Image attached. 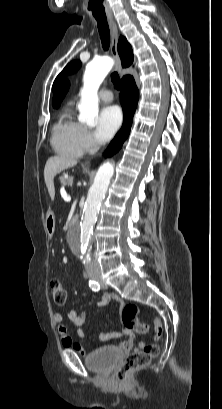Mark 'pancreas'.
<instances>
[{
    "label": "pancreas",
    "mask_w": 222,
    "mask_h": 409,
    "mask_svg": "<svg viewBox=\"0 0 222 409\" xmlns=\"http://www.w3.org/2000/svg\"><path fill=\"white\" fill-rule=\"evenodd\" d=\"M60 183L62 186H69L73 183V177H69V178L62 177L60 179Z\"/></svg>",
    "instance_id": "obj_1"
}]
</instances>
